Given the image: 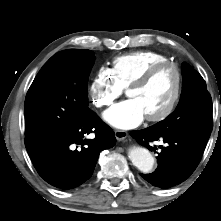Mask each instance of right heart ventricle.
Segmentation results:
<instances>
[{"label":"right heart ventricle","mask_w":221,"mask_h":221,"mask_svg":"<svg viewBox=\"0 0 221 221\" xmlns=\"http://www.w3.org/2000/svg\"><path fill=\"white\" fill-rule=\"evenodd\" d=\"M168 57L155 51H136L115 57L111 62L110 73L123 88L133 83L150 66L167 61Z\"/></svg>","instance_id":"e07e8e85"}]
</instances>
